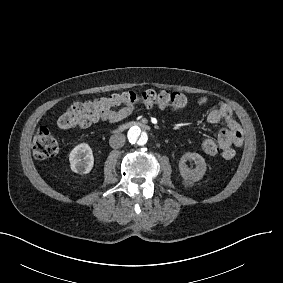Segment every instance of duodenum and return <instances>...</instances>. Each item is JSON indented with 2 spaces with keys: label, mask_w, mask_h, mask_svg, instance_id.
Instances as JSON below:
<instances>
[{
  "label": "duodenum",
  "mask_w": 283,
  "mask_h": 283,
  "mask_svg": "<svg viewBox=\"0 0 283 283\" xmlns=\"http://www.w3.org/2000/svg\"><path fill=\"white\" fill-rule=\"evenodd\" d=\"M133 126H138V127L143 128V129H149V126L145 123H142V122H127L125 124L118 126L116 128V131H121V130L127 129L129 127H133Z\"/></svg>",
  "instance_id": "duodenum-1"
}]
</instances>
